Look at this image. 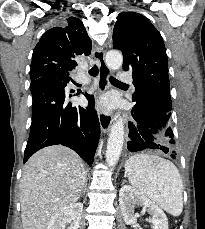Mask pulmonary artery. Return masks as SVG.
Segmentation results:
<instances>
[{"label":"pulmonary artery","mask_w":205,"mask_h":229,"mask_svg":"<svg viewBox=\"0 0 205 229\" xmlns=\"http://www.w3.org/2000/svg\"><path fill=\"white\" fill-rule=\"evenodd\" d=\"M119 80H120V82H122L124 84H132L133 83V77L128 72H120L119 73ZM79 82L88 83V79L80 78Z\"/></svg>","instance_id":"obj_1"}]
</instances>
